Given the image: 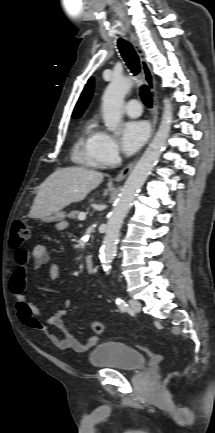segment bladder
Returning <instances> with one entry per match:
<instances>
[{"mask_svg": "<svg viewBox=\"0 0 215 433\" xmlns=\"http://www.w3.org/2000/svg\"><path fill=\"white\" fill-rule=\"evenodd\" d=\"M89 362L94 367L136 371L146 364V358L138 349L121 342H104L89 354Z\"/></svg>", "mask_w": 215, "mask_h": 433, "instance_id": "31cf9c89", "label": "bladder"}]
</instances>
